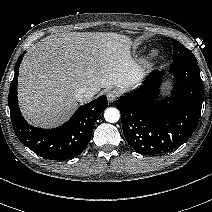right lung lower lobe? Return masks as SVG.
<instances>
[{
	"instance_id": "1",
	"label": "right lung lower lobe",
	"mask_w": 212,
	"mask_h": 212,
	"mask_svg": "<svg viewBox=\"0 0 212 212\" xmlns=\"http://www.w3.org/2000/svg\"><path fill=\"white\" fill-rule=\"evenodd\" d=\"M21 54L15 65V75L9 89V108L12 125L18 139L37 155L50 160H66L83 152L93 132L95 121L108 106L106 96H100L81 106L63 126L40 129L28 124L19 109L17 81Z\"/></svg>"
}]
</instances>
